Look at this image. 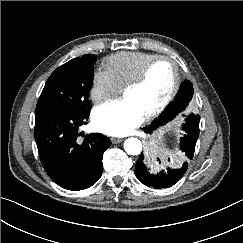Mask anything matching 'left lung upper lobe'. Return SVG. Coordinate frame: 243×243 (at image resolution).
<instances>
[{"instance_id":"1","label":"left lung upper lobe","mask_w":243,"mask_h":243,"mask_svg":"<svg viewBox=\"0 0 243 243\" xmlns=\"http://www.w3.org/2000/svg\"><path fill=\"white\" fill-rule=\"evenodd\" d=\"M192 96H193V86H192V83L190 81L186 80L182 84L181 89H180V91L178 93V96H177L175 102L162 115V117L159 118L158 120H156L155 122H157L158 124H163V123L167 122V120L169 119V117L173 115L172 113H173V110H174V105L176 103H179V102H189L192 99Z\"/></svg>"}]
</instances>
